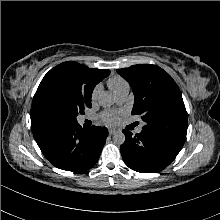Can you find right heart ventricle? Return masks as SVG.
<instances>
[{
    "label": "right heart ventricle",
    "instance_id": "e07e8e85",
    "mask_svg": "<svg viewBox=\"0 0 220 220\" xmlns=\"http://www.w3.org/2000/svg\"><path fill=\"white\" fill-rule=\"evenodd\" d=\"M107 84H108V87L110 88V90L114 94L116 92H118L120 89L128 86L127 82L119 76L110 77L107 81Z\"/></svg>",
    "mask_w": 220,
    "mask_h": 220
}]
</instances>
